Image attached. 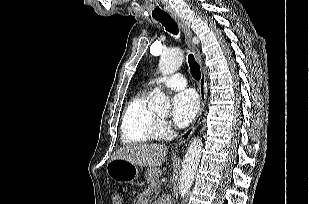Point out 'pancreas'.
Returning <instances> with one entry per match:
<instances>
[{
	"instance_id": "pancreas-1",
	"label": "pancreas",
	"mask_w": 309,
	"mask_h": 204,
	"mask_svg": "<svg viewBox=\"0 0 309 204\" xmlns=\"http://www.w3.org/2000/svg\"><path fill=\"white\" fill-rule=\"evenodd\" d=\"M160 170L158 168H148L145 172V179L151 189L157 194L160 189Z\"/></svg>"
}]
</instances>
